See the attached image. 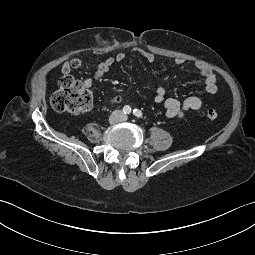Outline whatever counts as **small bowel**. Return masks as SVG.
<instances>
[{"instance_id": "1", "label": "small bowel", "mask_w": 255, "mask_h": 255, "mask_svg": "<svg viewBox=\"0 0 255 255\" xmlns=\"http://www.w3.org/2000/svg\"><path fill=\"white\" fill-rule=\"evenodd\" d=\"M132 53L141 56L149 63H153L156 60V57L153 53L142 49H133ZM126 57L127 54L125 52H119L114 57H108L104 61L100 62L97 65L96 71L94 73V79L101 80L115 63L123 62ZM82 64L83 62L80 58L69 59L62 64L61 70L64 74H69L71 71L79 69ZM183 64V59H176L173 61V65L176 67H180ZM196 69L204 80L205 91L209 94H216L218 92L216 74L210 68L204 66L201 63L196 64ZM94 79H85V87L91 89L94 84ZM122 101L123 97L119 95L114 96L111 100L112 103H120ZM154 102L163 105L165 115L168 118H181L187 111L199 110L203 107L202 99L197 96H190L183 101L166 97V90L163 85H159L157 87L154 94Z\"/></svg>"}]
</instances>
